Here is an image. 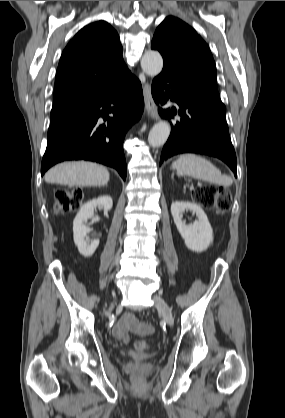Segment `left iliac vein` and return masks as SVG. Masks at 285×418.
Listing matches in <instances>:
<instances>
[{
	"label": "left iliac vein",
	"instance_id": "left-iliac-vein-1",
	"mask_svg": "<svg viewBox=\"0 0 285 418\" xmlns=\"http://www.w3.org/2000/svg\"><path fill=\"white\" fill-rule=\"evenodd\" d=\"M155 307L162 314L166 322H171L173 320L172 312L168 304L160 296L154 297Z\"/></svg>",
	"mask_w": 285,
	"mask_h": 418
}]
</instances>
